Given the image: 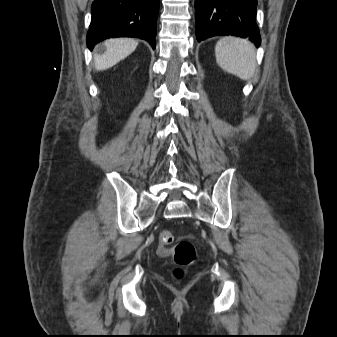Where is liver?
<instances>
[{"instance_id":"liver-1","label":"liver","mask_w":337,"mask_h":337,"mask_svg":"<svg viewBox=\"0 0 337 337\" xmlns=\"http://www.w3.org/2000/svg\"><path fill=\"white\" fill-rule=\"evenodd\" d=\"M137 45L138 42L132 38H115L105 41L104 53L95 58V69L102 71L114 66L134 52Z\"/></svg>"}]
</instances>
